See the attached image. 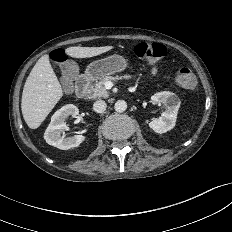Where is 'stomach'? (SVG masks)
I'll return each mask as SVG.
<instances>
[{
	"label": "stomach",
	"instance_id": "obj_1",
	"mask_svg": "<svg viewBox=\"0 0 232 232\" xmlns=\"http://www.w3.org/2000/svg\"><path fill=\"white\" fill-rule=\"evenodd\" d=\"M127 62L121 55L113 54L106 58L91 62L85 74L92 80L101 79L105 76L125 70Z\"/></svg>",
	"mask_w": 232,
	"mask_h": 232
}]
</instances>
